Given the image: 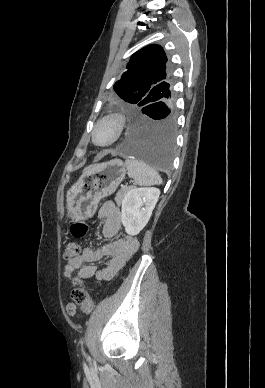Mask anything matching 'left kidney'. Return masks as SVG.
Wrapping results in <instances>:
<instances>
[{
	"label": "left kidney",
	"instance_id": "left-kidney-1",
	"mask_svg": "<svg viewBox=\"0 0 265 388\" xmlns=\"http://www.w3.org/2000/svg\"><path fill=\"white\" fill-rule=\"evenodd\" d=\"M159 196L158 188H130L122 202L121 222L126 234H140L148 224Z\"/></svg>",
	"mask_w": 265,
	"mask_h": 388
}]
</instances>
